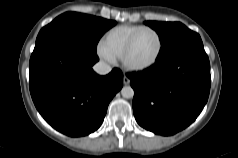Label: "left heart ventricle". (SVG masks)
Listing matches in <instances>:
<instances>
[{
    "mask_svg": "<svg viewBox=\"0 0 238 158\" xmlns=\"http://www.w3.org/2000/svg\"><path fill=\"white\" fill-rule=\"evenodd\" d=\"M158 51V39L151 31L141 33L129 56L128 61L132 65H144L149 63Z\"/></svg>",
    "mask_w": 238,
    "mask_h": 158,
    "instance_id": "left-heart-ventricle-1",
    "label": "left heart ventricle"
}]
</instances>
